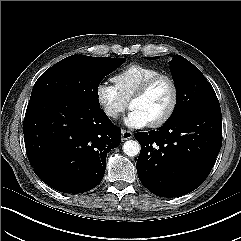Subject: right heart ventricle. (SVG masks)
Instances as JSON below:
<instances>
[{
	"label": "right heart ventricle",
	"instance_id": "obj_1",
	"mask_svg": "<svg viewBox=\"0 0 241 241\" xmlns=\"http://www.w3.org/2000/svg\"><path fill=\"white\" fill-rule=\"evenodd\" d=\"M158 74L160 71L152 66L132 63L118 71L112 81L121 96L128 100L141 84Z\"/></svg>",
	"mask_w": 241,
	"mask_h": 241
}]
</instances>
